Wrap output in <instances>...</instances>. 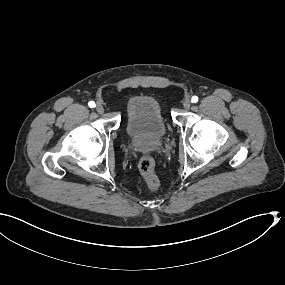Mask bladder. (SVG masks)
<instances>
[{"instance_id": "1", "label": "bladder", "mask_w": 285, "mask_h": 285, "mask_svg": "<svg viewBox=\"0 0 285 285\" xmlns=\"http://www.w3.org/2000/svg\"><path fill=\"white\" fill-rule=\"evenodd\" d=\"M128 109L125 135L140 145L155 144L165 139V129L161 104L158 98L149 92H136L126 100Z\"/></svg>"}]
</instances>
